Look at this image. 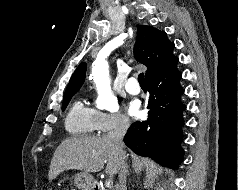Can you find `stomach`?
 Wrapping results in <instances>:
<instances>
[{"instance_id":"0dacf381","label":"stomach","mask_w":238,"mask_h":190,"mask_svg":"<svg viewBox=\"0 0 238 190\" xmlns=\"http://www.w3.org/2000/svg\"><path fill=\"white\" fill-rule=\"evenodd\" d=\"M68 178V177H66ZM74 184L81 190H94L95 179L87 173L80 172L74 175Z\"/></svg>"}]
</instances>
